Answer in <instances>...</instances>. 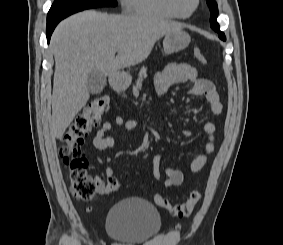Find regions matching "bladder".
Instances as JSON below:
<instances>
[{"instance_id": "bladder-1", "label": "bladder", "mask_w": 283, "mask_h": 245, "mask_svg": "<svg viewBox=\"0 0 283 245\" xmlns=\"http://www.w3.org/2000/svg\"><path fill=\"white\" fill-rule=\"evenodd\" d=\"M162 220L158 210L148 201L127 198L111 207L106 229L111 240L118 243L146 242L161 231Z\"/></svg>"}]
</instances>
